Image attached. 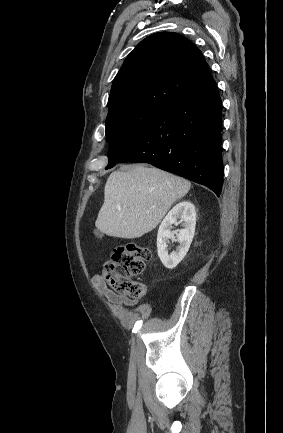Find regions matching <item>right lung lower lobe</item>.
Returning <instances> with one entry per match:
<instances>
[{"instance_id":"obj_1","label":"right lung lower lobe","mask_w":283,"mask_h":433,"mask_svg":"<svg viewBox=\"0 0 283 433\" xmlns=\"http://www.w3.org/2000/svg\"><path fill=\"white\" fill-rule=\"evenodd\" d=\"M222 107L216 83L155 115L118 154L117 162L149 163L202 184L220 196Z\"/></svg>"}]
</instances>
